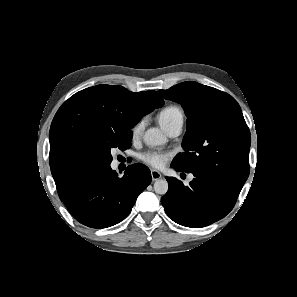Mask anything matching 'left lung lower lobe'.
<instances>
[{
  "instance_id": "1",
  "label": "left lung lower lobe",
  "mask_w": 297,
  "mask_h": 297,
  "mask_svg": "<svg viewBox=\"0 0 297 297\" xmlns=\"http://www.w3.org/2000/svg\"><path fill=\"white\" fill-rule=\"evenodd\" d=\"M166 180L169 189L161 203L167 215L174 222L191 228L205 227L225 217L239 194L229 186L203 176L194 175L188 186L173 177Z\"/></svg>"
}]
</instances>
